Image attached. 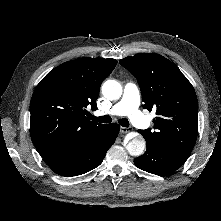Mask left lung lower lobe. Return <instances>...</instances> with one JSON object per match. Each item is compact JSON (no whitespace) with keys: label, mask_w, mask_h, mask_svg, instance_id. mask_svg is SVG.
I'll return each mask as SVG.
<instances>
[{"label":"left lung lower lobe","mask_w":221,"mask_h":221,"mask_svg":"<svg viewBox=\"0 0 221 221\" xmlns=\"http://www.w3.org/2000/svg\"><path fill=\"white\" fill-rule=\"evenodd\" d=\"M146 152L134 160L135 165L149 173L165 175L180 168L188 156L165 150L153 145H146Z\"/></svg>","instance_id":"1"}]
</instances>
